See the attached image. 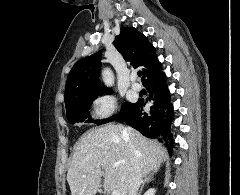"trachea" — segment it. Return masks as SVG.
I'll return each instance as SVG.
<instances>
[{
    "label": "trachea",
    "mask_w": 240,
    "mask_h": 195,
    "mask_svg": "<svg viewBox=\"0 0 240 195\" xmlns=\"http://www.w3.org/2000/svg\"><path fill=\"white\" fill-rule=\"evenodd\" d=\"M137 75H138V77H141L142 72L139 71V72L137 73Z\"/></svg>",
    "instance_id": "trachea-1"
}]
</instances>
